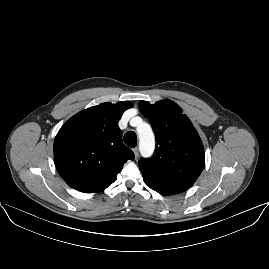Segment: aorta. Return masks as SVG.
<instances>
[{"mask_svg": "<svg viewBox=\"0 0 269 269\" xmlns=\"http://www.w3.org/2000/svg\"><path fill=\"white\" fill-rule=\"evenodd\" d=\"M140 119V123L137 125V132L139 136V151L144 158L151 157L155 149V136L151 126L143 122Z\"/></svg>", "mask_w": 269, "mask_h": 269, "instance_id": "1", "label": "aorta"}]
</instances>
